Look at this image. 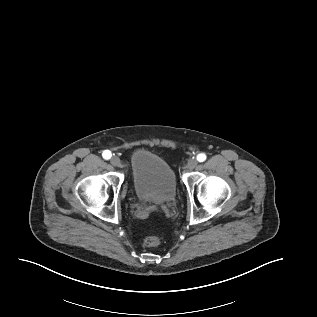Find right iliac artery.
I'll return each mask as SVG.
<instances>
[{"label": "right iliac artery", "instance_id": "82829eb1", "mask_svg": "<svg viewBox=\"0 0 317 317\" xmlns=\"http://www.w3.org/2000/svg\"><path fill=\"white\" fill-rule=\"evenodd\" d=\"M102 156L104 159L108 160L111 158L112 154L109 150H105L103 153H102Z\"/></svg>", "mask_w": 317, "mask_h": 317}]
</instances>
